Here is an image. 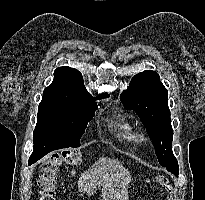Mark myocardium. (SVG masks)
<instances>
[{"mask_svg":"<svg viewBox=\"0 0 205 200\" xmlns=\"http://www.w3.org/2000/svg\"><path fill=\"white\" fill-rule=\"evenodd\" d=\"M147 140V135L143 130H137L134 132V141L142 144L145 143Z\"/></svg>","mask_w":205,"mask_h":200,"instance_id":"myocardium-1","label":"myocardium"}]
</instances>
